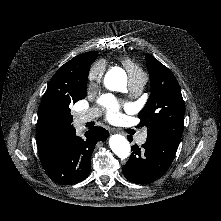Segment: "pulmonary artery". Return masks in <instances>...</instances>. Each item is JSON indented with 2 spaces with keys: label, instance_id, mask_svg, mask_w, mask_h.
Segmentation results:
<instances>
[{
  "label": "pulmonary artery",
  "instance_id": "e3ab8cb5",
  "mask_svg": "<svg viewBox=\"0 0 221 221\" xmlns=\"http://www.w3.org/2000/svg\"><path fill=\"white\" fill-rule=\"evenodd\" d=\"M146 83L145 74H140L129 79V89L133 95H138L142 92L144 85ZM98 113L96 110L91 109L88 111H84L78 114L76 118V122L81 125L93 120L97 117ZM147 138V132L143 131L137 138V142L139 144L145 143Z\"/></svg>",
  "mask_w": 221,
  "mask_h": 221
}]
</instances>
